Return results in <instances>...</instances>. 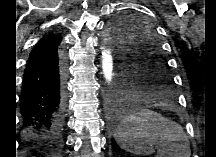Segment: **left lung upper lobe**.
<instances>
[{"instance_id":"left-lung-upper-lobe-1","label":"left lung upper lobe","mask_w":216,"mask_h":157,"mask_svg":"<svg viewBox=\"0 0 216 157\" xmlns=\"http://www.w3.org/2000/svg\"><path fill=\"white\" fill-rule=\"evenodd\" d=\"M105 42L120 70L118 88L122 75L132 94L173 97L174 80L153 23L133 12L121 14L107 26Z\"/></svg>"}]
</instances>
